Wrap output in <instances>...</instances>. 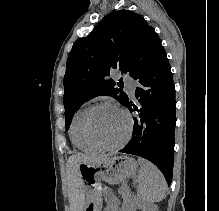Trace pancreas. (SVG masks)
<instances>
[{
	"label": "pancreas",
	"instance_id": "pancreas-1",
	"mask_svg": "<svg viewBox=\"0 0 219 211\" xmlns=\"http://www.w3.org/2000/svg\"><path fill=\"white\" fill-rule=\"evenodd\" d=\"M119 193H121V199H129V195H127V193H130V188H126L125 185H122V187H120L119 189Z\"/></svg>",
	"mask_w": 219,
	"mask_h": 211
}]
</instances>
